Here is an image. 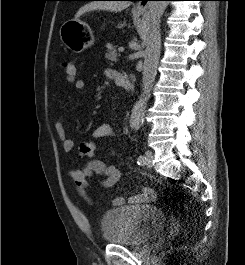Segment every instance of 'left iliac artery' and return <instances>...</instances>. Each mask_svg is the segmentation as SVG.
<instances>
[{
	"label": "left iliac artery",
	"mask_w": 245,
	"mask_h": 265,
	"mask_svg": "<svg viewBox=\"0 0 245 265\" xmlns=\"http://www.w3.org/2000/svg\"><path fill=\"white\" fill-rule=\"evenodd\" d=\"M144 161H145V157L140 155L138 158H137V163L138 165H143L144 164Z\"/></svg>",
	"instance_id": "44dca946"
}]
</instances>
